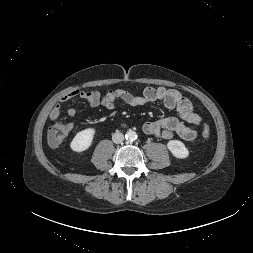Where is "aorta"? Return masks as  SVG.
<instances>
[{
  "mask_svg": "<svg viewBox=\"0 0 253 253\" xmlns=\"http://www.w3.org/2000/svg\"><path fill=\"white\" fill-rule=\"evenodd\" d=\"M125 138L128 141H134L135 139H137V133L133 130H129L126 133Z\"/></svg>",
  "mask_w": 253,
  "mask_h": 253,
  "instance_id": "obj_1",
  "label": "aorta"
}]
</instances>
